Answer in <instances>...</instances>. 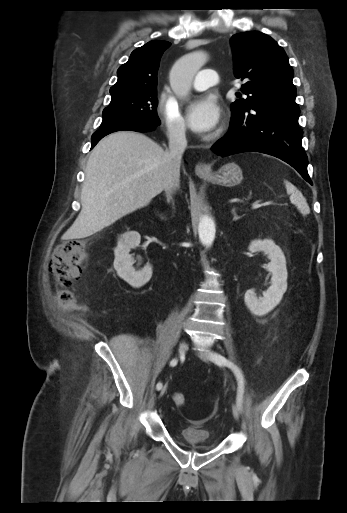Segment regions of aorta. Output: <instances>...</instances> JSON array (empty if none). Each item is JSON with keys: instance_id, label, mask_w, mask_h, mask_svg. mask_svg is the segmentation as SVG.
I'll use <instances>...</instances> for the list:
<instances>
[{"instance_id": "aorta-1", "label": "aorta", "mask_w": 347, "mask_h": 513, "mask_svg": "<svg viewBox=\"0 0 347 513\" xmlns=\"http://www.w3.org/2000/svg\"><path fill=\"white\" fill-rule=\"evenodd\" d=\"M206 60V53L195 51L182 56L174 63L170 71V86L177 97H188L192 79ZM215 232V224L212 218L207 215L203 216L199 223V236L204 246L210 247L213 244Z\"/></svg>"}]
</instances>
